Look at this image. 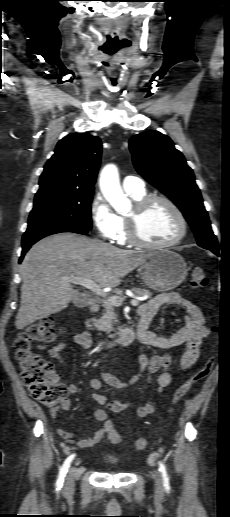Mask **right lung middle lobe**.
<instances>
[{
    "mask_svg": "<svg viewBox=\"0 0 230 517\" xmlns=\"http://www.w3.org/2000/svg\"><path fill=\"white\" fill-rule=\"evenodd\" d=\"M92 196L93 192H71L35 198L27 230L59 224L91 230Z\"/></svg>",
    "mask_w": 230,
    "mask_h": 517,
    "instance_id": "right-lung-middle-lobe-1",
    "label": "right lung middle lobe"
}]
</instances>
